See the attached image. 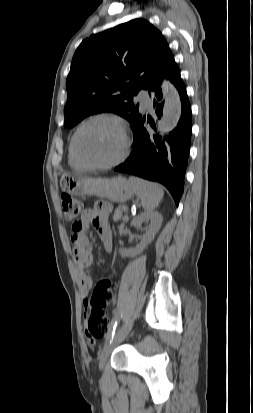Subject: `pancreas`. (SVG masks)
Returning a JSON list of instances; mask_svg holds the SVG:
<instances>
[{
  "mask_svg": "<svg viewBox=\"0 0 253 413\" xmlns=\"http://www.w3.org/2000/svg\"><path fill=\"white\" fill-rule=\"evenodd\" d=\"M127 210L128 208L125 205L118 206L114 212V216H113L114 221L125 219L126 217L123 216V212H127Z\"/></svg>",
  "mask_w": 253,
  "mask_h": 413,
  "instance_id": "cf45deb5",
  "label": "pancreas"
}]
</instances>
